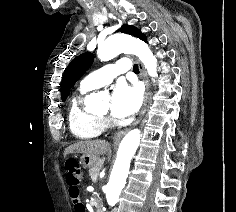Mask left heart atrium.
Instances as JSON below:
<instances>
[{
	"label": "left heart atrium",
	"mask_w": 236,
	"mask_h": 212,
	"mask_svg": "<svg viewBox=\"0 0 236 212\" xmlns=\"http://www.w3.org/2000/svg\"><path fill=\"white\" fill-rule=\"evenodd\" d=\"M142 103V92L136 85L119 84L111 98V112L115 117L124 118L138 111Z\"/></svg>",
	"instance_id": "obj_1"
}]
</instances>
